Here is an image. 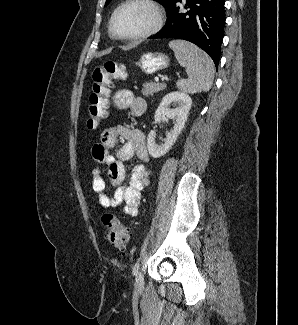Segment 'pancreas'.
Wrapping results in <instances>:
<instances>
[{"label":"pancreas","mask_w":298,"mask_h":325,"mask_svg":"<svg viewBox=\"0 0 298 325\" xmlns=\"http://www.w3.org/2000/svg\"><path fill=\"white\" fill-rule=\"evenodd\" d=\"M166 88L165 82H142L141 92L144 96H153L155 92H160Z\"/></svg>","instance_id":"1"}]
</instances>
